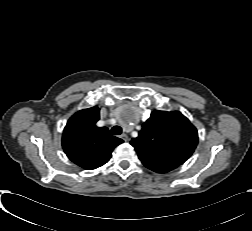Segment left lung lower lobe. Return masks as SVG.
<instances>
[{
  "label": "left lung lower lobe",
  "instance_id": "left-lung-lower-lobe-1",
  "mask_svg": "<svg viewBox=\"0 0 252 231\" xmlns=\"http://www.w3.org/2000/svg\"><path fill=\"white\" fill-rule=\"evenodd\" d=\"M178 166H173V165H150L147 168H149L152 171H155L157 173H166L169 172Z\"/></svg>",
  "mask_w": 252,
  "mask_h": 231
}]
</instances>
